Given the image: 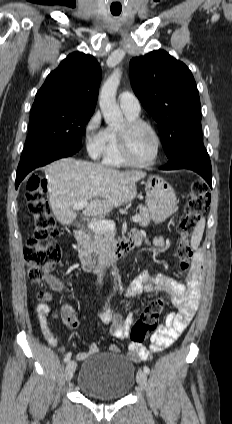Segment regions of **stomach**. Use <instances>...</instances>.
I'll return each mask as SVG.
<instances>
[{"label": "stomach", "mask_w": 232, "mask_h": 424, "mask_svg": "<svg viewBox=\"0 0 232 424\" xmlns=\"http://www.w3.org/2000/svg\"><path fill=\"white\" fill-rule=\"evenodd\" d=\"M147 208L155 223H161L178 209V200L169 183L151 176L145 183Z\"/></svg>", "instance_id": "stomach-1"}]
</instances>
